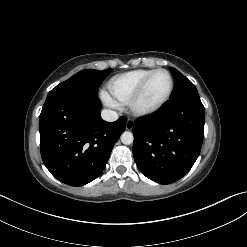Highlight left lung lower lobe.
I'll return each mask as SVG.
<instances>
[{"label":"left lung lower lobe","instance_id":"obj_1","mask_svg":"<svg viewBox=\"0 0 247 247\" xmlns=\"http://www.w3.org/2000/svg\"><path fill=\"white\" fill-rule=\"evenodd\" d=\"M204 121L199 95L170 100L158 113L136 120L133 156L141 173L159 184L186 175L200 154Z\"/></svg>","mask_w":247,"mask_h":247}]
</instances>
